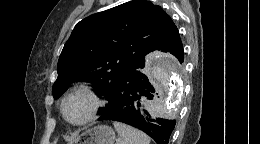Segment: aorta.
Listing matches in <instances>:
<instances>
[{
	"label": "aorta",
	"instance_id": "1",
	"mask_svg": "<svg viewBox=\"0 0 260 144\" xmlns=\"http://www.w3.org/2000/svg\"><path fill=\"white\" fill-rule=\"evenodd\" d=\"M151 68L149 74L155 79L158 87L167 91L162 95L163 103L161 113H170L176 106L180 95L181 85L177 77V63L168 54H156L150 59Z\"/></svg>",
	"mask_w": 260,
	"mask_h": 144
}]
</instances>
